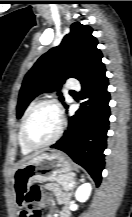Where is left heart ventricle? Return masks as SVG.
Instances as JSON below:
<instances>
[{
	"instance_id": "b2bd125f",
	"label": "left heart ventricle",
	"mask_w": 132,
	"mask_h": 217,
	"mask_svg": "<svg viewBox=\"0 0 132 217\" xmlns=\"http://www.w3.org/2000/svg\"><path fill=\"white\" fill-rule=\"evenodd\" d=\"M60 117L50 105L40 107L32 116L27 127V137L34 144H41L52 139L59 127Z\"/></svg>"
}]
</instances>
